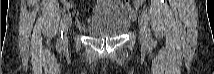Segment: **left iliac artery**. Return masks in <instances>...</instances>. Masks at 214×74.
Returning a JSON list of instances; mask_svg holds the SVG:
<instances>
[{
    "instance_id": "left-iliac-artery-1",
    "label": "left iliac artery",
    "mask_w": 214,
    "mask_h": 74,
    "mask_svg": "<svg viewBox=\"0 0 214 74\" xmlns=\"http://www.w3.org/2000/svg\"><path fill=\"white\" fill-rule=\"evenodd\" d=\"M141 16L144 18L145 22H148V15L147 12L145 10H143L141 12ZM149 39L151 40L152 44H154V40L150 37V33H149Z\"/></svg>"
}]
</instances>
